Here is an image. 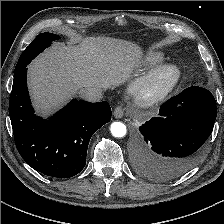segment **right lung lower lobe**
Returning a JSON list of instances; mask_svg holds the SVG:
<instances>
[{
  "label": "right lung lower lobe",
  "mask_w": 224,
  "mask_h": 224,
  "mask_svg": "<svg viewBox=\"0 0 224 224\" xmlns=\"http://www.w3.org/2000/svg\"><path fill=\"white\" fill-rule=\"evenodd\" d=\"M27 65L14 75L9 103L17 150L29 166L47 176L72 177L86 164L91 136L111 120V107L108 102L73 99L52 118L43 120L31 106Z\"/></svg>",
  "instance_id": "98d812e1"
}]
</instances>
